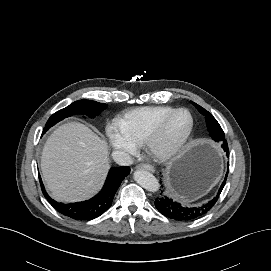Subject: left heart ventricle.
<instances>
[{
    "label": "left heart ventricle",
    "mask_w": 271,
    "mask_h": 271,
    "mask_svg": "<svg viewBox=\"0 0 271 271\" xmlns=\"http://www.w3.org/2000/svg\"><path fill=\"white\" fill-rule=\"evenodd\" d=\"M190 127V117L187 113L177 114L171 121L161 144H173L182 139Z\"/></svg>",
    "instance_id": "obj_1"
}]
</instances>
